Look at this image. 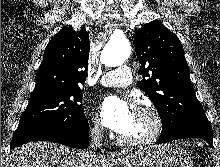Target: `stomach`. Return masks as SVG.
Here are the masks:
<instances>
[{
  "instance_id": "1",
  "label": "stomach",
  "mask_w": 220,
  "mask_h": 167,
  "mask_svg": "<svg viewBox=\"0 0 220 167\" xmlns=\"http://www.w3.org/2000/svg\"><path fill=\"white\" fill-rule=\"evenodd\" d=\"M113 162L118 167H193L189 154L176 144L145 147Z\"/></svg>"
}]
</instances>
